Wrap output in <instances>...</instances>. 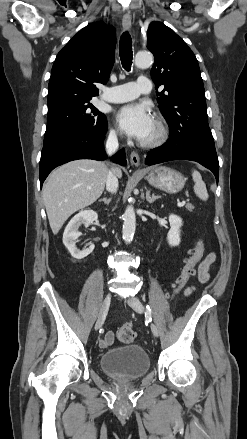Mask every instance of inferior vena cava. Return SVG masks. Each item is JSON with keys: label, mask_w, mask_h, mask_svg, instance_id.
Listing matches in <instances>:
<instances>
[{"label": "inferior vena cava", "mask_w": 247, "mask_h": 439, "mask_svg": "<svg viewBox=\"0 0 247 439\" xmlns=\"http://www.w3.org/2000/svg\"><path fill=\"white\" fill-rule=\"evenodd\" d=\"M118 150V139L114 131H111L107 142H106V152L108 155L114 154ZM106 189L111 193H116L118 189V179L115 170H109L106 178Z\"/></svg>", "instance_id": "obj_1"}]
</instances>
